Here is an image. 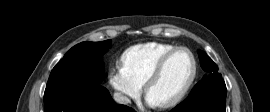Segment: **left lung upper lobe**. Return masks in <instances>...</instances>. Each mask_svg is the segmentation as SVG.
Listing matches in <instances>:
<instances>
[{
  "label": "left lung upper lobe",
  "mask_w": 270,
  "mask_h": 112,
  "mask_svg": "<svg viewBox=\"0 0 270 112\" xmlns=\"http://www.w3.org/2000/svg\"><path fill=\"white\" fill-rule=\"evenodd\" d=\"M199 59L203 70L208 72V76L203 78L200 82H198L195 87L192 89L189 96L197 94L203 88H205L208 84L222 79L221 74L218 73L217 65L211 60V58L202 50L198 51ZM188 96V97H189Z\"/></svg>",
  "instance_id": "left-lung-upper-lobe-1"
}]
</instances>
